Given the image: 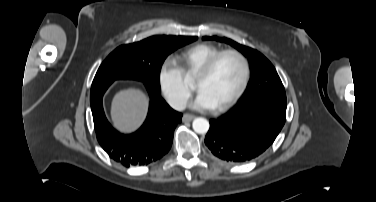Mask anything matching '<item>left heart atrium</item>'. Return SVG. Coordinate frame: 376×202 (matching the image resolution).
Segmentation results:
<instances>
[{"instance_id":"1","label":"left heart atrium","mask_w":376,"mask_h":202,"mask_svg":"<svg viewBox=\"0 0 376 202\" xmlns=\"http://www.w3.org/2000/svg\"><path fill=\"white\" fill-rule=\"evenodd\" d=\"M192 107L195 109H213L215 108L213 102L209 98V96L202 90L198 91V95L194 102L192 103Z\"/></svg>"}]
</instances>
